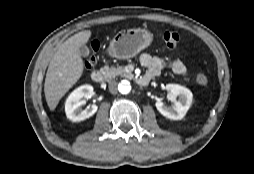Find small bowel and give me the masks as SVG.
<instances>
[{
    "label": "small bowel",
    "instance_id": "small-bowel-1",
    "mask_svg": "<svg viewBox=\"0 0 254 174\" xmlns=\"http://www.w3.org/2000/svg\"><path fill=\"white\" fill-rule=\"evenodd\" d=\"M140 63L147 68L144 75L151 76L152 78L158 76L162 69L169 67L175 74L186 75V66L178 59L168 60L162 57L151 56L148 53H142L140 55Z\"/></svg>",
    "mask_w": 254,
    "mask_h": 174
}]
</instances>
